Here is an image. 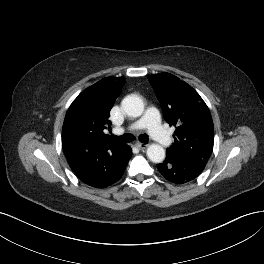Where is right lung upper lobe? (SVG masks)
Here are the masks:
<instances>
[{
  "label": "right lung upper lobe",
  "instance_id": "obj_1",
  "mask_svg": "<svg viewBox=\"0 0 264 264\" xmlns=\"http://www.w3.org/2000/svg\"><path fill=\"white\" fill-rule=\"evenodd\" d=\"M124 83V77H106L85 89L73 101L62 128L66 158L113 152L124 146L104 133L105 129H110L109 113Z\"/></svg>",
  "mask_w": 264,
  "mask_h": 264
}]
</instances>
